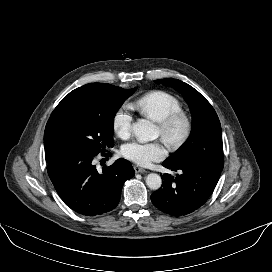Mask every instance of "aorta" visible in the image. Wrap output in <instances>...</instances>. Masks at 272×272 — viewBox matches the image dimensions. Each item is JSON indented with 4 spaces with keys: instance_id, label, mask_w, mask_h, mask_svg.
Instances as JSON below:
<instances>
[{
    "instance_id": "1",
    "label": "aorta",
    "mask_w": 272,
    "mask_h": 272,
    "mask_svg": "<svg viewBox=\"0 0 272 272\" xmlns=\"http://www.w3.org/2000/svg\"><path fill=\"white\" fill-rule=\"evenodd\" d=\"M133 133L144 140H154L158 137L157 127L149 120L141 119L133 124ZM146 184L152 190H158L162 185L161 177L150 173L146 177Z\"/></svg>"
}]
</instances>
